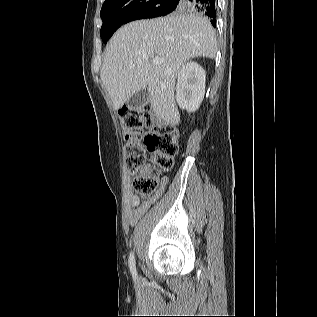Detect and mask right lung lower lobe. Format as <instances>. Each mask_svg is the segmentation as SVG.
I'll return each instance as SVG.
<instances>
[{
  "label": "right lung lower lobe",
  "instance_id": "obj_1",
  "mask_svg": "<svg viewBox=\"0 0 317 317\" xmlns=\"http://www.w3.org/2000/svg\"><path fill=\"white\" fill-rule=\"evenodd\" d=\"M216 0H173L171 5L179 6L182 10L200 12L211 19L212 25L216 26Z\"/></svg>",
  "mask_w": 317,
  "mask_h": 317
}]
</instances>
